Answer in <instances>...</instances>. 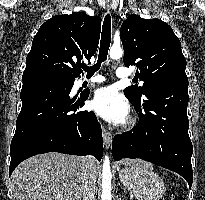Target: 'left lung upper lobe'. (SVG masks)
Listing matches in <instances>:
<instances>
[{
    "mask_svg": "<svg viewBox=\"0 0 205 200\" xmlns=\"http://www.w3.org/2000/svg\"><path fill=\"white\" fill-rule=\"evenodd\" d=\"M120 38L124 65H136V76L144 82L142 87L134 85L124 90L131 102H140L156 84L170 81L188 83L181 43L167 23L130 15L121 25Z\"/></svg>",
    "mask_w": 205,
    "mask_h": 200,
    "instance_id": "5c2ea615",
    "label": "left lung upper lobe"
}]
</instances>
